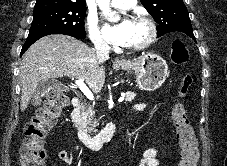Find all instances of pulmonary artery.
<instances>
[{"label":"pulmonary artery","instance_id":"obj_1","mask_svg":"<svg viewBox=\"0 0 227 166\" xmlns=\"http://www.w3.org/2000/svg\"><path fill=\"white\" fill-rule=\"evenodd\" d=\"M136 3V0H111V5L118 9H130Z\"/></svg>","mask_w":227,"mask_h":166}]
</instances>
